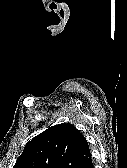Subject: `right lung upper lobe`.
<instances>
[{"instance_id": "1", "label": "right lung upper lobe", "mask_w": 127, "mask_h": 168, "mask_svg": "<svg viewBox=\"0 0 127 168\" xmlns=\"http://www.w3.org/2000/svg\"><path fill=\"white\" fill-rule=\"evenodd\" d=\"M91 158L88 143L70 123L48 128L25 146L13 168H75Z\"/></svg>"}]
</instances>
